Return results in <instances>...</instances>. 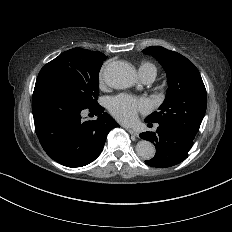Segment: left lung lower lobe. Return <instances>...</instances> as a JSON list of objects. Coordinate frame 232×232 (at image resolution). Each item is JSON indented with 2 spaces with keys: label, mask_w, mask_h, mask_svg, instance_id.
Masks as SVG:
<instances>
[{
  "label": "left lung lower lobe",
  "mask_w": 232,
  "mask_h": 232,
  "mask_svg": "<svg viewBox=\"0 0 232 232\" xmlns=\"http://www.w3.org/2000/svg\"><path fill=\"white\" fill-rule=\"evenodd\" d=\"M145 122L150 123L146 119ZM139 136L155 145V156L145 163L158 168L171 167L184 161L194 140L179 128L168 124H159L156 132L147 131Z\"/></svg>",
  "instance_id": "0a47b994"
}]
</instances>
